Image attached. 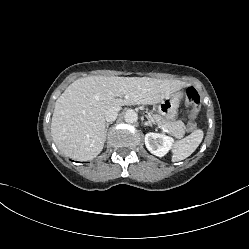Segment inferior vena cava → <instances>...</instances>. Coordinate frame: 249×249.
Segmentation results:
<instances>
[{
  "label": "inferior vena cava",
  "instance_id": "602c4592",
  "mask_svg": "<svg viewBox=\"0 0 249 249\" xmlns=\"http://www.w3.org/2000/svg\"><path fill=\"white\" fill-rule=\"evenodd\" d=\"M121 107L115 106L109 108L105 113V120L107 122H113L116 120L118 112L120 111Z\"/></svg>",
  "mask_w": 249,
  "mask_h": 249
}]
</instances>
